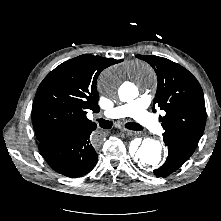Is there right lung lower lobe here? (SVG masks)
<instances>
[{"label": "right lung lower lobe", "mask_w": 221, "mask_h": 221, "mask_svg": "<svg viewBox=\"0 0 221 221\" xmlns=\"http://www.w3.org/2000/svg\"><path fill=\"white\" fill-rule=\"evenodd\" d=\"M95 128L69 131L39 142V150L56 172L67 177H80L89 173L98 161L92 133Z\"/></svg>", "instance_id": "right-lung-lower-lobe-1"}]
</instances>
